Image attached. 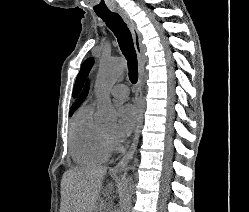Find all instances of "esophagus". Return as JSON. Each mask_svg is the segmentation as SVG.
<instances>
[{
  "label": "esophagus",
  "mask_w": 249,
  "mask_h": 212,
  "mask_svg": "<svg viewBox=\"0 0 249 212\" xmlns=\"http://www.w3.org/2000/svg\"><path fill=\"white\" fill-rule=\"evenodd\" d=\"M113 12H117L130 28V31L132 33V38L134 41L135 51H136L137 58H138V68H139V78H138V83L136 85V91H135V103L138 109V121H137L134 139L128 152H126V154L122 157V159L119 160V162L115 165V167H112L110 169L111 173L120 174L123 172L126 165L128 164V162L131 160V158L134 155V152L137 148V144L139 141L141 129L143 127L142 87H143V79H144V68H145V62H146V55H145L146 49H145L144 44L142 43L140 32L138 31L133 20L129 17L128 13L125 12L124 8L116 7L113 10Z\"/></svg>",
  "instance_id": "obj_1"
}]
</instances>
